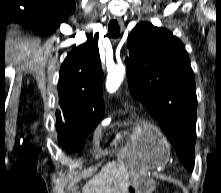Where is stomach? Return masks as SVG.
Wrapping results in <instances>:
<instances>
[{
    "label": "stomach",
    "instance_id": "stomach-1",
    "mask_svg": "<svg viewBox=\"0 0 221 193\" xmlns=\"http://www.w3.org/2000/svg\"><path fill=\"white\" fill-rule=\"evenodd\" d=\"M134 133H130L133 142H128L125 154H121L119 164L130 167V177H134L126 193H150L153 186L150 182L153 167H166L169 159L168 142H163L155 125L147 122H135Z\"/></svg>",
    "mask_w": 221,
    "mask_h": 193
}]
</instances>
